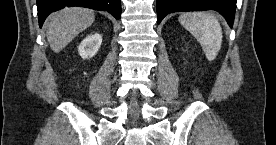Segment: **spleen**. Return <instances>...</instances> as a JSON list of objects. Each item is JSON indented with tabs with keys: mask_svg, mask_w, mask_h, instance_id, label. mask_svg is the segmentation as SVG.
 Here are the masks:
<instances>
[{
	"mask_svg": "<svg viewBox=\"0 0 276 145\" xmlns=\"http://www.w3.org/2000/svg\"><path fill=\"white\" fill-rule=\"evenodd\" d=\"M179 22L200 43L206 58L213 61L222 45V28L212 14L203 12L185 13L179 17Z\"/></svg>",
	"mask_w": 276,
	"mask_h": 145,
	"instance_id": "3e777b00",
	"label": "spleen"
}]
</instances>
